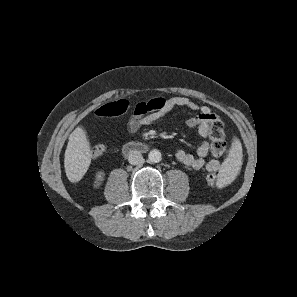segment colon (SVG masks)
Listing matches in <instances>:
<instances>
[{"mask_svg":"<svg viewBox=\"0 0 297 297\" xmlns=\"http://www.w3.org/2000/svg\"><path fill=\"white\" fill-rule=\"evenodd\" d=\"M129 104L127 100L120 99L99 107L96 110V114L99 116H120L127 112ZM148 109V105L145 102H139L133 107L134 114H144ZM211 129V144L210 153L212 156L218 158L222 156L227 148V144L224 138L223 123L218 116H215L210 124ZM105 148L103 145H96L92 150L94 157L103 155ZM206 181L209 186L215 187L217 185L218 177L216 174H209L206 177Z\"/></svg>","mask_w":297,"mask_h":297,"instance_id":"1","label":"colon"}]
</instances>
